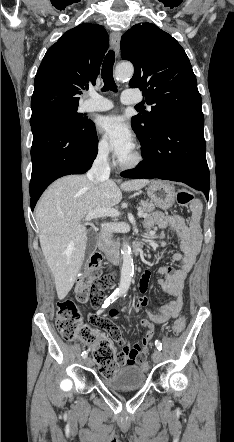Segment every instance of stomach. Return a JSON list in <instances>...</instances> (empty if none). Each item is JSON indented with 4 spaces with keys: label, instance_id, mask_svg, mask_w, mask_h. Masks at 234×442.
I'll use <instances>...</instances> for the list:
<instances>
[{
    "label": "stomach",
    "instance_id": "1",
    "mask_svg": "<svg viewBox=\"0 0 234 442\" xmlns=\"http://www.w3.org/2000/svg\"><path fill=\"white\" fill-rule=\"evenodd\" d=\"M147 193L151 201L164 210L170 208L176 199L175 187L164 181H151Z\"/></svg>",
    "mask_w": 234,
    "mask_h": 442
}]
</instances>
